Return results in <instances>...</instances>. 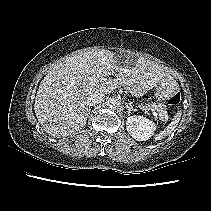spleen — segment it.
Listing matches in <instances>:
<instances>
[{
  "mask_svg": "<svg viewBox=\"0 0 211 211\" xmlns=\"http://www.w3.org/2000/svg\"><path fill=\"white\" fill-rule=\"evenodd\" d=\"M181 118V113L178 112L172 119V121L168 124V126L161 131L158 135H156V140H161L163 137L167 136L168 134L172 133L175 128L177 127Z\"/></svg>",
  "mask_w": 211,
  "mask_h": 211,
  "instance_id": "spleen-1",
  "label": "spleen"
}]
</instances>
